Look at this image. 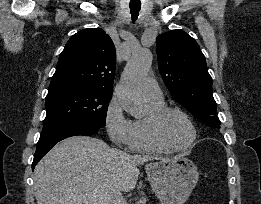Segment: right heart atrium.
I'll use <instances>...</instances> for the list:
<instances>
[{"label":"right heart atrium","mask_w":261,"mask_h":204,"mask_svg":"<svg viewBox=\"0 0 261 204\" xmlns=\"http://www.w3.org/2000/svg\"><path fill=\"white\" fill-rule=\"evenodd\" d=\"M104 126L114 144L130 146L132 120L125 115L123 106L116 97H112L106 107Z\"/></svg>","instance_id":"1"}]
</instances>
